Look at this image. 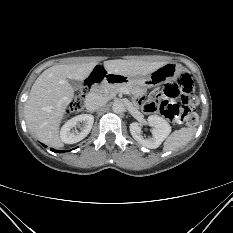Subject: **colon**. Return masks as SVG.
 <instances>
[{
    "label": "colon",
    "mask_w": 233,
    "mask_h": 233,
    "mask_svg": "<svg viewBox=\"0 0 233 233\" xmlns=\"http://www.w3.org/2000/svg\"><path fill=\"white\" fill-rule=\"evenodd\" d=\"M86 93V88H83L74 96L70 103V111L77 112L84 108ZM195 105L193 83L187 75H183L180 78V85L166 84L163 95H151L147 99L144 109L148 113L158 112L171 122L194 126L198 121Z\"/></svg>",
    "instance_id": "1"
}]
</instances>
